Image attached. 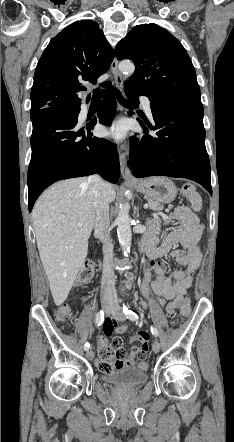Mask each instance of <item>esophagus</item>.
<instances>
[{
	"label": "esophagus",
	"instance_id": "34e87169",
	"mask_svg": "<svg viewBox=\"0 0 234 442\" xmlns=\"http://www.w3.org/2000/svg\"><path fill=\"white\" fill-rule=\"evenodd\" d=\"M111 69L113 72V76H114V81L116 84V87L119 90L123 89V79L122 76L118 70V61L116 59V57H114L112 63H111ZM119 109L120 111H122V107L119 105ZM120 167H121V174L122 177L127 180V181H136V179L132 176L128 164H127V159H126V153L124 151H121L120 154Z\"/></svg>",
	"mask_w": 234,
	"mask_h": 442
}]
</instances>
